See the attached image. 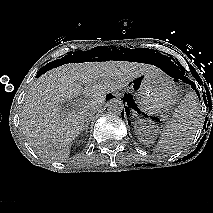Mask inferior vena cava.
I'll return each mask as SVG.
<instances>
[{"instance_id":"inferior-vena-cava-1","label":"inferior vena cava","mask_w":213,"mask_h":213,"mask_svg":"<svg viewBox=\"0 0 213 213\" xmlns=\"http://www.w3.org/2000/svg\"><path fill=\"white\" fill-rule=\"evenodd\" d=\"M96 111V108H87L85 112V122L91 121L94 118Z\"/></svg>"}]
</instances>
